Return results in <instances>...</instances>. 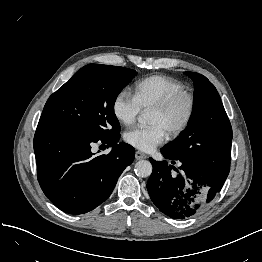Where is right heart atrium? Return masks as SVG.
Listing matches in <instances>:
<instances>
[{
	"mask_svg": "<svg viewBox=\"0 0 262 262\" xmlns=\"http://www.w3.org/2000/svg\"><path fill=\"white\" fill-rule=\"evenodd\" d=\"M112 108L116 119L124 125H131L142 110L134 95L126 90L116 95Z\"/></svg>",
	"mask_w": 262,
	"mask_h": 262,
	"instance_id": "1",
	"label": "right heart atrium"
}]
</instances>
